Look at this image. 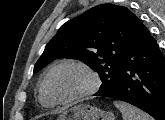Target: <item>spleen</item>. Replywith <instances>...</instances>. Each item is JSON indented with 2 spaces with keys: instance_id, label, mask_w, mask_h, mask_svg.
I'll list each match as a JSON object with an SVG mask.
<instances>
[{
  "instance_id": "3e777b00",
  "label": "spleen",
  "mask_w": 165,
  "mask_h": 120,
  "mask_svg": "<svg viewBox=\"0 0 165 120\" xmlns=\"http://www.w3.org/2000/svg\"><path fill=\"white\" fill-rule=\"evenodd\" d=\"M114 105L122 113L123 120H153L150 115L130 104L114 101Z\"/></svg>"
}]
</instances>
